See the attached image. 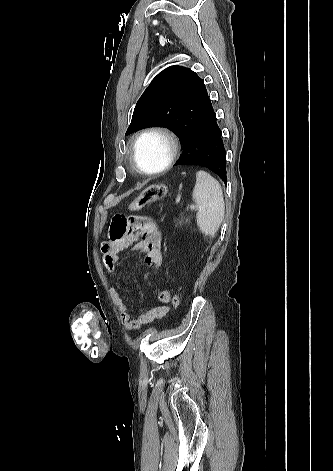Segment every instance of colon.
<instances>
[{
    "label": "colon",
    "mask_w": 333,
    "mask_h": 471,
    "mask_svg": "<svg viewBox=\"0 0 333 471\" xmlns=\"http://www.w3.org/2000/svg\"><path fill=\"white\" fill-rule=\"evenodd\" d=\"M168 186L165 184H153L145 188L129 205L131 211H137L143 207L165 197L168 194ZM172 304L175 309L179 307L180 297L175 293L172 298Z\"/></svg>",
    "instance_id": "obj_1"
}]
</instances>
